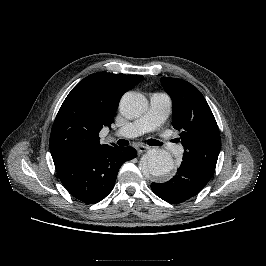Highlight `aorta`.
<instances>
[{"label":"aorta","mask_w":266,"mask_h":266,"mask_svg":"<svg viewBox=\"0 0 266 266\" xmlns=\"http://www.w3.org/2000/svg\"><path fill=\"white\" fill-rule=\"evenodd\" d=\"M147 99L139 93L127 92L120 101V111L127 118L141 116L147 109ZM174 162L171 155L164 149L154 148L147 152L141 162V169L155 177H162L171 172Z\"/></svg>","instance_id":"aorta-1"}]
</instances>
